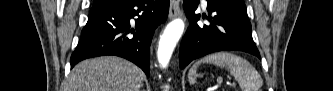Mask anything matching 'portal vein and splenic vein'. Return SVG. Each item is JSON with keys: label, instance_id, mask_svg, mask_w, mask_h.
<instances>
[{"label": "portal vein and splenic vein", "instance_id": "18ae733b", "mask_svg": "<svg viewBox=\"0 0 333 91\" xmlns=\"http://www.w3.org/2000/svg\"><path fill=\"white\" fill-rule=\"evenodd\" d=\"M217 82H218V83H221V82H222V80H217ZM231 85H234V84H231Z\"/></svg>", "mask_w": 333, "mask_h": 91}]
</instances>
